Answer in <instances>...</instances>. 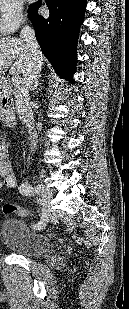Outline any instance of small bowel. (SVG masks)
Listing matches in <instances>:
<instances>
[{"label": "small bowel", "mask_w": 129, "mask_h": 309, "mask_svg": "<svg viewBox=\"0 0 129 309\" xmlns=\"http://www.w3.org/2000/svg\"><path fill=\"white\" fill-rule=\"evenodd\" d=\"M16 186L17 179L6 152V142L0 138V189L4 187L14 188Z\"/></svg>", "instance_id": "c3829d8e"}]
</instances>
